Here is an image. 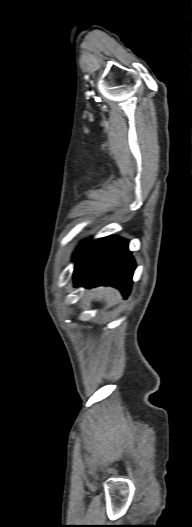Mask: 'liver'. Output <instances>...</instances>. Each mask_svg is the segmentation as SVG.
I'll use <instances>...</instances> for the list:
<instances>
[{
    "instance_id": "6515ba94",
    "label": "liver",
    "mask_w": 192,
    "mask_h": 527,
    "mask_svg": "<svg viewBox=\"0 0 192 527\" xmlns=\"http://www.w3.org/2000/svg\"><path fill=\"white\" fill-rule=\"evenodd\" d=\"M91 296L96 301H103L109 305H113L117 297H119V293L110 287H99L91 290Z\"/></svg>"
}]
</instances>
